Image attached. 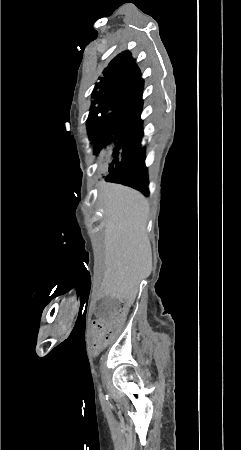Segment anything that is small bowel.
I'll list each match as a JSON object with an SVG mask.
<instances>
[{"mask_svg": "<svg viewBox=\"0 0 241 450\" xmlns=\"http://www.w3.org/2000/svg\"><path fill=\"white\" fill-rule=\"evenodd\" d=\"M120 309L114 310L112 312V317L114 319H124L126 317V313H128V303L125 300L120 301L119 303ZM115 327L118 325L116 322L113 324ZM94 328H92L91 333L92 335L96 336L93 340H91L90 345L93 348L99 347L100 344H108L111 342L113 337L117 335L118 330L115 327H111L108 330V333L106 335H100L101 329L103 326L102 321L96 320L93 323ZM100 335V336H99Z\"/></svg>", "mask_w": 241, "mask_h": 450, "instance_id": "c3829d8e", "label": "small bowel"}]
</instances>
